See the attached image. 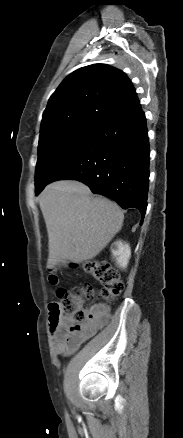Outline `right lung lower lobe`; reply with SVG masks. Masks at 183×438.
Listing matches in <instances>:
<instances>
[{"mask_svg":"<svg viewBox=\"0 0 183 438\" xmlns=\"http://www.w3.org/2000/svg\"><path fill=\"white\" fill-rule=\"evenodd\" d=\"M149 143L140 104L99 124L89 142L50 182L74 179L123 209L147 208ZM42 190H39L38 195Z\"/></svg>","mask_w":183,"mask_h":438,"instance_id":"1","label":"right lung lower lobe"}]
</instances>
